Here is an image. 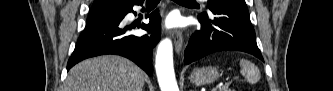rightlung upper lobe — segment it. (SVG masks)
I'll return each instance as SVG.
<instances>
[{
    "label": "right lung upper lobe",
    "mask_w": 333,
    "mask_h": 91,
    "mask_svg": "<svg viewBox=\"0 0 333 91\" xmlns=\"http://www.w3.org/2000/svg\"><path fill=\"white\" fill-rule=\"evenodd\" d=\"M143 0H94L91 14H109L124 11Z\"/></svg>",
    "instance_id": "obj_1"
}]
</instances>
